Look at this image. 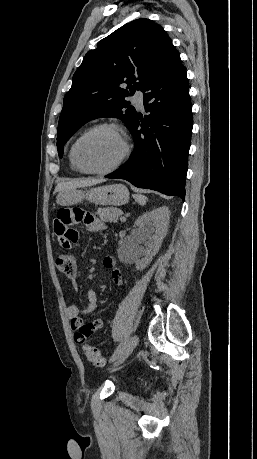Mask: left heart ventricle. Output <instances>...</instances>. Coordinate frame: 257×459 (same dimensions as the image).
Masks as SVG:
<instances>
[{"label": "left heart ventricle", "instance_id": "b2bd125f", "mask_svg": "<svg viewBox=\"0 0 257 459\" xmlns=\"http://www.w3.org/2000/svg\"><path fill=\"white\" fill-rule=\"evenodd\" d=\"M123 150L121 137L112 130L103 129L91 134L80 144L79 157L85 166L103 169L113 165Z\"/></svg>", "mask_w": 257, "mask_h": 459}]
</instances>
